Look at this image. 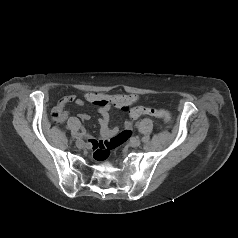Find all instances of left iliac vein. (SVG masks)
Listing matches in <instances>:
<instances>
[{
    "label": "left iliac vein",
    "mask_w": 238,
    "mask_h": 238,
    "mask_svg": "<svg viewBox=\"0 0 238 238\" xmlns=\"http://www.w3.org/2000/svg\"><path fill=\"white\" fill-rule=\"evenodd\" d=\"M140 140L138 138H132L129 142L131 147H138L140 145Z\"/></svg>",
    "instance_id": "1"
}]
</instances>
